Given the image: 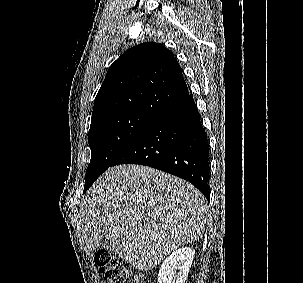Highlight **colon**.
Returning <instances> with one entry per match:
<instances>
[{"label": "colon", "mask_w": 303, "mask_h": 283, "mask_svg": "<svg viewBox=\"0 0 303 283\" xmlns=\"http://www.w3.org/2000/svg\"><path fill=\"white\" fill-rule=\"evenodd\" d=\"M94 261L100 272L110 283H148L142 275L126 266L106 250H98Z\"/></svg>", "instance_id": "1"}]
</instances>
